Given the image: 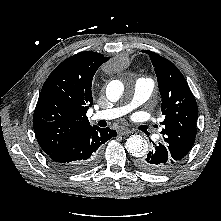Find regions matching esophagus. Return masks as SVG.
<instances>
[{
  "mask_svg": "<svg viewBox=\"0 0 221 221\" xmlns=\"http://www.w3.org/2000/svg\"><path fill=\"white\" fill-rule=\"evenodd\" d=\"M130 133H132V131L130 129H127V128H121L119 130L120 135H127V134H130Z\"/></svg>",
  "mask_w": 221,
  "mask_h": 221,
  "instance_id": "esophagus-1",
  "label": "esophagus"
}]
</instances>
